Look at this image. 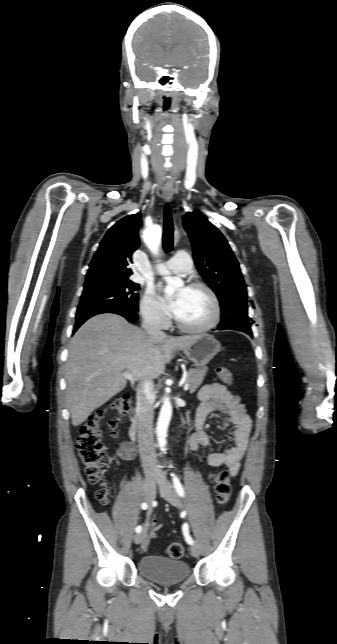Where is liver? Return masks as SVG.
Returning a JSON list of instances; mask_svg holds the SVG:
<instances>
[{
    "label": "liver",
    "instance_id": "obj_1",
    "mask_svg": "<svg viewBox=\"0 0 337 644\" xmlns=\"http://www.w3.org/2000/svg\"><path fill=\"white\" fill-rule=\"evenodd\" d=\"M196 339V335L152 338L116 314L87 320L70 341L65 367L73 426L82 424L126 387L123 371L135 380L155 379L175 350L192 345Z\"/></svg>",
    "mask_w": 337,
    "mask_h": 644
}]
</instances>
